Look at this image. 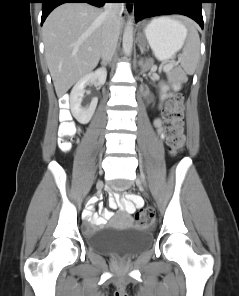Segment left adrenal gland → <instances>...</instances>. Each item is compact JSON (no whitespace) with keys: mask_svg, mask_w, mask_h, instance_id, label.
Segmentation results:
<instances>
[{"mask_svg":"<svg viewBox=\"0 0 239 296\" xmlns=\"http://www.w3.org/2000/svg\"><path fill=\"white\" fill-rule=\"evenodd\" d=\"M139 48H140V51L141 53L144 52V46H142L140 43L138 44ZM139 65H142V61L139 62Z\"/></svg>","mask_w":239,"mask_h":296,"instance_id":"1","label":"left adrenal gland"}]
</instances>
